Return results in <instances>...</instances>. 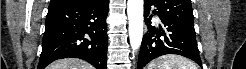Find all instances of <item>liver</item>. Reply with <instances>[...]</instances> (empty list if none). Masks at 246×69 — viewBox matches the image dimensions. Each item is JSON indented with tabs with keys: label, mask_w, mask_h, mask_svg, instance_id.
<instances>
[{
	"label": "liver",
	"mask_w": 246,
	"mask_h": 69,
	"mask_svg": "<svg viewBox=\"0 0 246 69\" xmlns=\"http://www.w3.org/2000/svg\"><path fill=\"white\" fill-rule=\"evenodd\" d=\"M48 69H93L91 65L80 59L68 58L55 61Z\"/></svg>",
	"instance_id": "6515ba94"
}]
</instances>
